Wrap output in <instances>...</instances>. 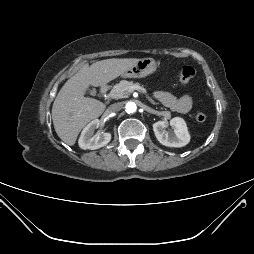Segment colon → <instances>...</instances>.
<instances>
[{
    "instance_id": "5ec220e1",
    "label": "colon",
    "mask_w": 254,
    "mask_h": 254,
    "mask_svg": "<svg viewBox=\"0 0 254 254\" xmlns=\"http://www.w3.org/2000/svg\"><path fill=\"white\" fill-rule=\"evenodd\" d=\"M196 76V70L192 66H184L179 74V82L186 84L194 79ZM195 118L198 122H204L206 120V114L203 112H197Z\"/></svg>"
}]
</instances>
